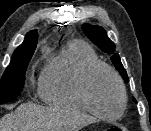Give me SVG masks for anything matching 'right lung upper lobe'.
Instances as JSON below:
<instances>
[{"label": "right lung upper lobe", "instance_id": "cb5924a9", "mask_svg": "<svg viewBox=\"0 0 151 131\" xmlns=\"http://www.w3.org/2000/svg\"><path fill=\"white\" fill-rule=\"evenodd\" d=\"M37 41H38L37 31L36 30L30 31L29 33L26 34L24 42L19 47L37 44Z\"/></svg>", "mask_w": 151, "mask_h": 131}]
</instances>
